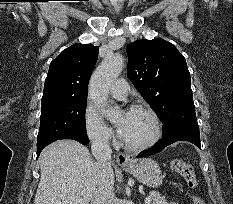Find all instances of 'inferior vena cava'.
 <instances>
[{"mask_svg": "<svg viewBox=\"0 0 233 204\" xmlns=\"http://www.w3.org/2000/svg\"><path fill=\"white\" fill-rule=\"evenodd\" d=\"M91 150L101 170L97 187L92 195L91 204H116L114 176L109 162L112 149L108 143V138L99 137L94 139Z\"/></svg>", "mask_w": 233, "mask_h": 204, "instance_id": "obj_1", "label": "inferior vena cava"}]
</instances>
